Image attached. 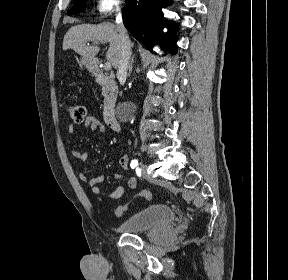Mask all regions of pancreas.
Wrapping results in <instances>:
<instances>
[{
    "mask_svg": "<svg viewBox=\"0 0 288 280\" xmlns=\"http://www.w3.org/2000/svg\"><path fill=\"white\" fill-rule=\"evenodd\" d=\"M102 94H103V96H105V95H106V93H105V90H104V89H102Z\"/></svg>",
    "mask_w": 288,
    "mask_h": 280,
    "instance_id": "1",
    "label": "pancreas"
}]
</instances>
